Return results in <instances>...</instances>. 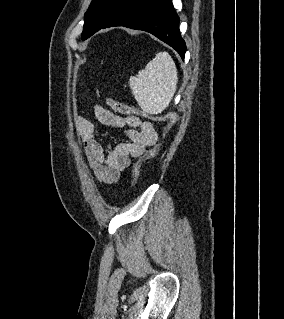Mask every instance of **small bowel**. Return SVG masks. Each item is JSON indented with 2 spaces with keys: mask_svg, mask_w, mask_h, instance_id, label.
<instances>
[{
  "mask_svg": "<svg viewBox=\"0 0 284 319\" xmlns=\"http://www.w3.org/2000/svg\"><path fill=\"white\" fill-rule=\"evenodd\" d=\"M95 118L103 125L125 129L128 142L115 144L110 148L98 139L94 124L78 116L75 129L84 146L87 162L96 180L101 184H115L122 172L128 169L131 158L142 156L158 140L153 123L137 116H119L102 106L93 107Z\"/></svg>",
  "mask_w": 284,
  "mask_h": 319,
  "instance_id": "obj_1",
  "label": "small bowel"
}]
</instances>
